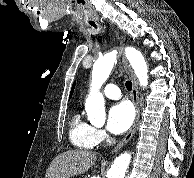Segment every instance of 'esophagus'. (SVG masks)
Returning a JSON list of instances; mask_svg holds the SVG:
<instances>
[{
    "mask_svg": "<svg viewBox=\"0 0 194 178\" xmlns=\"http://www.w3.org/2000/svg\"><path fill=\"white\" fill-rule=\"evenodd\" d=\"M122 62L125 66V69L128 73V75L131 78L132 84H133V89H132V101L134 103L135 109H136V116L133 122L132 127L130 128L129 132L125 135V137L117 144V146L114 148V152H117L120 150L126 143L130 141V139L133 137L135 134L136 128L138 126L139 118H140V106H139V94H138V84L137 80L135 78V75L128 64L126 58L124 55L122 56Z\"/></svg>",
    "mask_w": 194,
    "mask_h": 178,
    "instance_id": "obj_1",
    "label": "esophagus"
}]
</instances>
